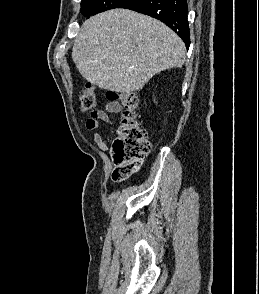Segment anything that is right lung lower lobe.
Segmentation results:
<instances>
[{"mask_svg": "<svg viewBox=\"0 0 259 294\" xmlns=\"http://www.w3.org/2000/svg\"><path fill=\"white\" fill-rule=\"evenodd\" d=\"M119 8H126L159 19L190 45L188 6L186 0H130Z\"/></svg>", "mask_w": 259, "mask_h": 294, "instance_id": "1", "label": "right lung lower lobe"}]
</instances>
